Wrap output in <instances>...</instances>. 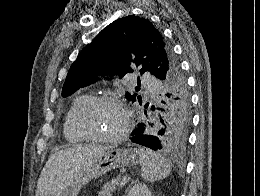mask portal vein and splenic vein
<instances>
[{
    "instance_id": "18ae733b",
    "label": "portal vein and splenic vein",
    "mask_w": 260,
    "mask_h": 196,
    "mask_svg": "<svg viewBox=\"0 0 260 196\" xmlns=\"http://www.w3.org/2000/svg\"><path fill=\"white\" fill-rule=\"evenodd\" d=\"M128 180H130V176L129 175H124L123 179H122V182H121V185H120V190H123L124 183L128 182Z\"/></svg>"
}]
</instances>
